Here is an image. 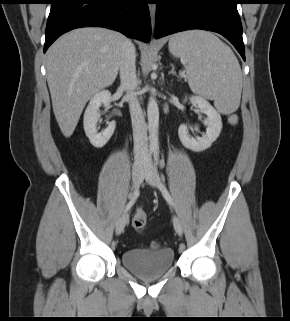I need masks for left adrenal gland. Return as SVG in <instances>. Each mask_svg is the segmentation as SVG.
<instances>
[{
	"label": "left adrenal gland",
	"instance_id": "1",
	"mask_svg": "<svg viewBox=\"0 0 290 321\" xmlns=\"http://www.w3.org/2000/svg\"><path fill=\"white\" fill-rule=\"evenodd\" d=\"M170 65H171V71L169 72V74H172V75L178 77V75H177V73L175 71L174 65L173 64H170Z\"/></svg>",
	"mask_w": 290,
	"mask_h": 321
}]
</instances>
